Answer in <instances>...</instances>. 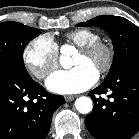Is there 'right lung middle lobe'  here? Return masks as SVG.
<instances>
[{
	"instance_id": "dd1d6c3e",
	"label": "right lung middle lobe",
	"mask_w": 139,
	"mask_h": 139,
	"mask_svg": "<svg viewBox=\"0 0 139 139\" xmlns=\"http://www.w3.org/2000/svg\"><path fill=\"white\" fill-rule=\"evenodd\" d=\"M39 34L40 30L17 22L0 23V63L26 71L23 50L28 42Z\"/></svg>"
}]
</instances>
